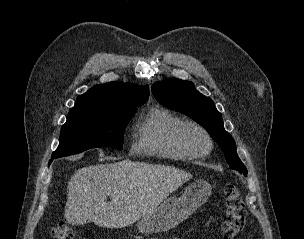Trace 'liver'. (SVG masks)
Returning <instances> with one entry per match:
<instances>
[{"label":"liver","instance_id":"obj_1","mask_svg":"<svg viewBox=\"0 0 304 239\" xmlns=\"http://www.w3.org/2000/svg\"><path fill=\"white\" fill-rule=\"evenodd\" d=\"M191 178L173 166L131 160L86 166L68 182L64 216L72 225L126 227L150 214Z\"/></svg>","mask_w":304,"mask_h":239}]
</instances>
